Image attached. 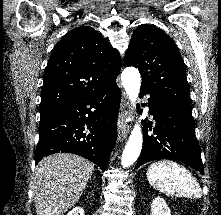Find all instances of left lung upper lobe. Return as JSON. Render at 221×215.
<instances>
[{
  "mask_svg": "<svg viewBox=\"0 0 221 215\" xmlns=\"http://www.w3.org/2000/svg\"><path fill=\"white\" fill-rule=\"evenodd\" d=\"M124 64L139 69L141 88L152 95L191 106L183 59L174 41L161 29L139 26L131 37Z\"/></svg>",
  "mask_w": 221,
  "mask_h": 215,
  "instance_id": "1",
  "label": "left lung upper lobe"
}]
</instances>
